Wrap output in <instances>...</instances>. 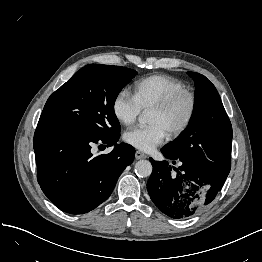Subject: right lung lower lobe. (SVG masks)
I'll return each instance as SVG.
<instances>
[{
  "instance_id": "98d812e1",
  "label": "right lung lower lobe",
  "mask_w": 262,
  "mask_h": 262,
  "mask_svg": "<svg viewBox=\"0 0 262 262\" xmlns=\"http://www.w3.org/2000/svg\"><path fill=\"white\" fill-rule=\"evenodd\" d=\"M119 133L99 137L56 122H38L33 140L37 179L55 206L83 214L110 196L135 153L131 145L117 144ZM97 143L115 147L108 154L94 156L91 148Z\"/></svg>"
}]
</instances>
